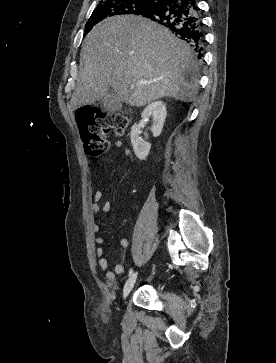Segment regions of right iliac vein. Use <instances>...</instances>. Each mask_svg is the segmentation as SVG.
I'll list each match as a JSON object with an SVG mask.
<instances>
[{
	"label": "right iliac vein",
	"mask_w": 276,
	"mask_h": 363,
	"mask_svg": "<svg viewBox=\"0 0 276 363\" xmlns=\"http://www.w3.org/2000/svg\"><path fill=\"white\" fill-rule=\"evenodd\" d=\"M136 278H137V272L133 273L129 279L126 281L124 288H123V298L125 299L129 293L132 291L134 284L136 282Z\"/></svg>",
	"instance_id": "obj_1"
}]
</instances>
